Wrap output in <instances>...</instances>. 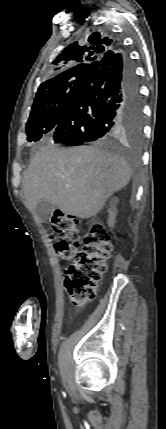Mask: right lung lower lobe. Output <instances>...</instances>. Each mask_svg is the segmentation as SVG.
I'll use <instances>...</instances> for the list:
<instances>
[{
  "mask_svg": "<svg viewBox=\"0 0 166 429\" xmlns=\"http://www.w3.org/2000/svg\"><path fill=\"white\" fill-rule=\"evenodd\" d=\"M142 121L135 68L123 51L115 50L90 64L53 131V139L69 145L102 144L123 128H140Z\"/></svg>",
  "mask_w": 166,
  "mask_h": 429,
  "instance_id": "right-lung-lower-lobe-1",
  "label": "right lung lower lobe"
}]
</instances>
